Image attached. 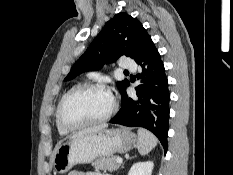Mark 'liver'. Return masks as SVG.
Masks as SVG:
<instances>
[{
    "mask_svg": "<svg viewBox=\"0 0 233 175\" xmlns=\"http://www.w3.org/2000/svg\"><path fill=\"white\" fill-rule=\"evenodd\" d=\"M107 126H108L107 124H102V125H99V126H95V127H91V128L81 130V131L73 134L72 136H70L69 139H73V138H76L78 136H82V135H85V134H90V133H93V132H97V131L106 129Z\"/></svg>",
    "mask_w": 233,
    "mask_h": 175,
    "instance_id": "obj_1",
    "label": "liver"
}]
</instances>
